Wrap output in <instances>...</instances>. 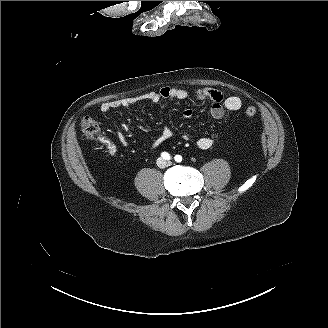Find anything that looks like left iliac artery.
Returning a JSON list of instances; mask_svg holds the SVG:
<instances>
[{
	"label": "left iliac artery",
	"mask_w": 328,
	"mask_h": 328,
	"mask_svg": "<svg viewBox=\"0 0 328 328\" xmlns=\"http://www.w3.org/2000/svg\"><path fill=\"white\" fill-rule=\"evenodd\" d=\"M174 159H175L176 162H181L182 161V157L180 155H176L174 157Z\"/></svg>",
	"instance_id": "obj_1"
}]
</instances>
